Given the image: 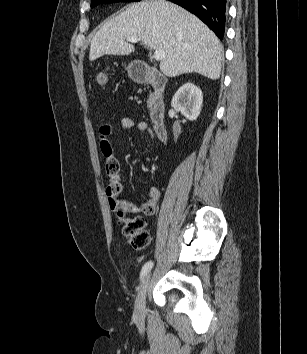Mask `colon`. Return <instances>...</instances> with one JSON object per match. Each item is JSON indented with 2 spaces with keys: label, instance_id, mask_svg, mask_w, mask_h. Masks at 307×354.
<instances>
[{
  "label": "colon",
  "instance_id": "colon-1",
  "mask_svg": "<svg viewBox=\"0 0 307 354\" xmlns=\"http://www.w3.org/2000/svg\"><path fill=\"white\" fill-rule=\"evenodd\" d=\"M95 80L98 85L104 86L108 82V72L100 69L95 72ZM118 222L122 226L123 235L126 237L128 244L135 250H144L148 248L150 236L145 230V220L141 216H128L130 212L127 208L115 207Z\"/></svg>",
  "mask_w": 307,
  "mask_h": 354
}]
</instances>
